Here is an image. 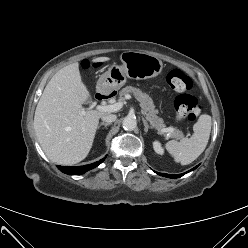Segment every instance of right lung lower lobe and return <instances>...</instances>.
Wrapping results in <instances>:
<instances>
[{"mask_svg":"<svg viewBox=\"0 0 248 248\" xmlns=\"http://www.w3.org/2000/svg\"><path fill=\"white\" fill-rule=\"evenodd\" d=\"M105 158L101 159L98 162L89 164V165H84V166H77V167H66V166H58V169L61 170L63 173L69 174V175H79L83 174L95 167H97L101 162L104 161Z\"/></svg>","mask_w":248,"mask_h":248,"instance_id":"98d812e1","label":"right lung lower lobe"}]
</instances>
